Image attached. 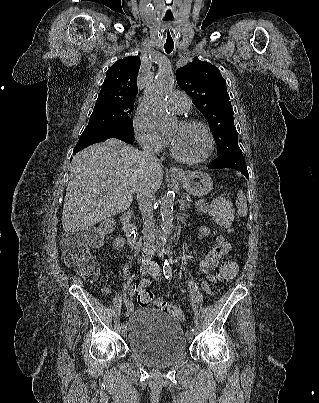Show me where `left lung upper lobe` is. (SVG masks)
Returning <instances> with one entry per match:
<instances>
[{"mask_svg":"<svg viewBox=\"0 0 319 403\" xmlns=\"http://www.w3.org/2000/svg\"><path fill=\"white\" fill-rule=\"evenodd\" d=\"M176 78L178 85L192 97L193 104L208 121L218 147L217 156L242 154L226 81L220 70L196 59L179 68Z\"/></svg>","mask_w":319,"mask_h":403,"instance_id":"obj_1","label":"left lung upper lobe"}]
</instances>
